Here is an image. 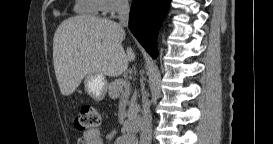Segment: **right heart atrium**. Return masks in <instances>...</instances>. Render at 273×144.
<instances>
[{"instance_id":"1","label":"right heart atrium","mask_w":273,"mask_h":144,"mask_svg":"<svg viewBox=\"0 0 273 144\" xmlns=\"http://www.w3.org/2000/svg\"><path fill=\"white\" fill-rule=\"evenodd\" d=\"M100 12L114 16L127 5L125 0H99Z\"/></svg>"}]
</instances>
